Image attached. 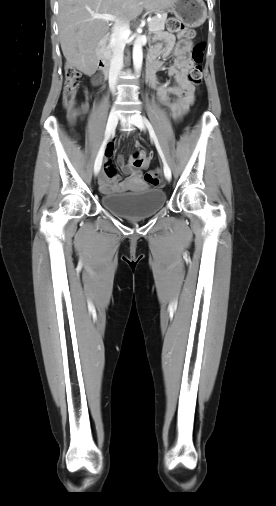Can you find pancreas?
I'll return each instance as SVG.
<instances>
[{
    "label": "pancreas",
    "instance_id": "1",
    "mask_svg": "<svg viewBox=\"0 0 276 506\" xmlns=\"http://www.w3.org/2000/svg\"><path fill=\"white\" fill-rule=\"evenodd\" d=\"M166 17H167L166 14H162L160 18L153 17L151 19V22H149V24H148L149 32L156 33V32L164 30V24L166 21ZM108 50H109V52H111L110 48Z\"/></svg>",
    "mask_w": 276,
    "mask_h": 506
}]
</instances>
